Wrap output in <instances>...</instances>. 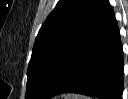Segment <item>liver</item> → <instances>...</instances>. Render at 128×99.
<instances>
[{"instance_id":"6515ba94","label":"liver","mask_w":128,"mask_h":99,"mask_svg":"<svg viewBox=\"0 0 128 99\" xmlns=\"http://www.w3.org/2000/svg\"><path fill=\"white\" fill-rule=\"evenodd\" d=\"M81 96L79 95H74V94H69L66 95L65 99H80Z\"/></svg>"}]
</instances>
